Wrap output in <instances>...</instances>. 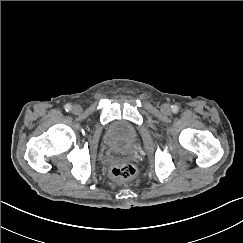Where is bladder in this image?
<instances>
[{"label":"bladder","mask_w":243,"mask_h":243,"mask_svg":"<svg viewBox=\"0 0 243 243\" xmlns=\"http://www.w3.org/2000/svg\"><path fill=\"white\" fill-rule=\"evenodd\" d=\"M137 138V129L124 119L112 121L104 135L105 143L113 148H126L135 143Z\"/></svg>","instance_id":"31cf9c89"}]
</instances>
